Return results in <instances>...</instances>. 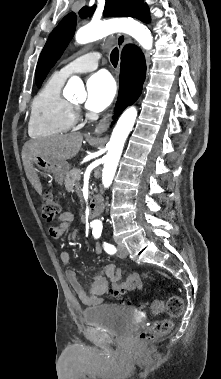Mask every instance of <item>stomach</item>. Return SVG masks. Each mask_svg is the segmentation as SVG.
<instances>
[{
  "instance_id": "0dacf381",
  "label": "stomach",
  "mask_w": 221,
  "mask_h": 379,
  "mask_svg": "<svg viewBox=\"0 0 221 379\" xmlns=\"http://www.w3.org/2000/svg\"><path fill=\"white\" fill-rule=\"evenodd\" d=\"M34 164L37 166L38 170L52 174L55 181L60 185L63 183L69 172V164L66 161L53 160L38 156L35 158Z\"/></svg>"
}]
</instances>
